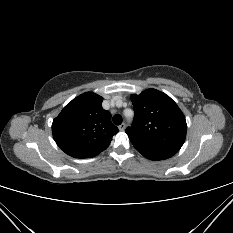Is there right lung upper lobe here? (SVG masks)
Instances as JSON below:
<instances>
[{"label":"right lung upper lobe","instance_id":"right-lung-upper-lobe-1","mask_svg":"<svg viewBox=\"0 0 233 233\" xmlns=\"http://www.w3.org/2000/svg\"><path fill=\"white\" fill-rule=\"evenodd\" d=\"M103 98L87 92L67 104L52 124L53 138L68 155L91 158L104 151L119 130L102 108Z\"/></svg>","mask_w":233,"mask_h":233}]
</instances>
